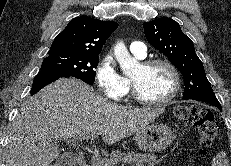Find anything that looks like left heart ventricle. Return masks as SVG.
<instances>
[{
    "label": "left heart ventricle",
    "instance_id": "obj_1",
    "mask_svg": "<svg viewBox=\"0 0 231 166\" xmlns=\"http://www.w3.org/2000/svg\"><path fill=\"white\" fill-rule=\"evenodd\" d=\"M131 78L136 83L140 95L150 100L165 98L173 87L171 73L161 65L150 68H144L139 65L131 75Z\"/></svg>",
    "mask_w": 231,
    "mask_h": 166
}]
</instances>
